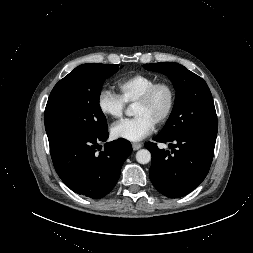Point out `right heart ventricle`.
Masks as SVG:
<instances>
[{
    "label": "right heart ventricle",
    "instance_id": "e07e8e85",
    "mask_svg": "<svg viewBox=\"0 0 253 253\" xmlns=\"http://www.w3.org/2000/svg\"><path fill=\"white\" fill-rule=\"evenodd\" d=\"M156 82L158 79L154 76L134 74L119 80L116 88L125 104H133Z\"/></svg>",
    "mask_w": 253,
    "mask_h": 253
}]
</instances>
